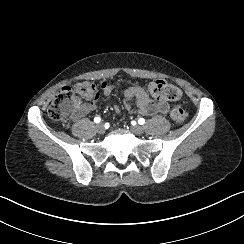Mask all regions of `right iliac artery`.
<instances>
[{
    "label": "right iliac artery",
    "instance_id": "82829eb1",
    "mask_svg": "<svg viewBox=\"0 0 244 244\" xmlns=\"http://www.w3.org/2000/svg\"><path fill=\"white\" fill-rule=\"evenodd\" d=\"M101 121V118L100 117H95L94 118V122L95 123H99ZM107 126L109 127V124H107ZM106 128V127H105Z\"/></svg>",
    "mask_w": 244,
    "mask_h": 244
}]
</instances>
